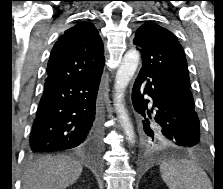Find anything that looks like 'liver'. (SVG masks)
<instances>
[{"label": "liver", "instance_id": "1", "mask_svg": "<svg viewBox=\"0 0 223 189\" xmlns=\"http://www.w3.org/2000/svg\"><path fill=\"white\" fill-rule=\"evenodd\" d=\"M82 164L67 156L45 157L32 163L22 176V189H65L74 184Z\"/></svg>", "mask_w": 223, "mask_h": 189}]
</instances>
